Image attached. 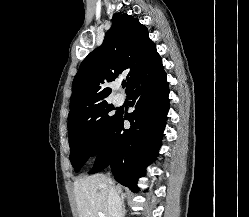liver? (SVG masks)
Segmentation results:
<instances>
[{"instance_id": "6515ba94", "label": "liver", "mask_w": 249, "mask_h": 217, "mask_svg": "<svg viewBox=\"0 0 249 217\" xmlns=\"http://www.w3.org/2000/svg\"><path fill=\"white\" fill-rule=\"evenodd\" d=\"M111 183L114 185L112 180L103 174H95L74 182L79 217H98V212L110 217L108 194ZM116 190L125 197L120 185L116 186Z\"/></svg>"}]
</instances>
